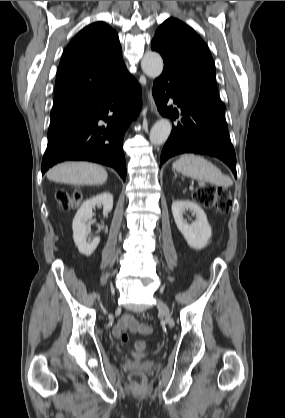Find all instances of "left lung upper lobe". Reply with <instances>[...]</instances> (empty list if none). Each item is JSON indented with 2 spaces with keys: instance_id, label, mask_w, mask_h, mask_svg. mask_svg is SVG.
I'll list each match as a JSON object with an SVG mask.
<instances>
[{
  "instance_id": "5c2ea615",
  "label": "left lung upper lobe",
  "mask_w": 285,
  "mask_h": 418,
  "mask_svg": "<svg viewBox=\"0 0 285 418\" xmlns=\"http://www.w3.org/2000/svg\"><path fill=\"white\" fill-rule=\"evenodd\" d=\"M151 49L161 54L164 63L218 93L211 53L205 42L182 21L175 18L164 21L156 31Z\"/></svg>"
}]
</instances>
